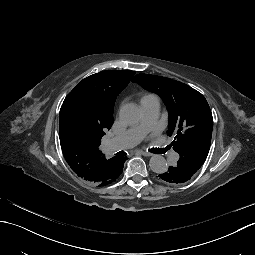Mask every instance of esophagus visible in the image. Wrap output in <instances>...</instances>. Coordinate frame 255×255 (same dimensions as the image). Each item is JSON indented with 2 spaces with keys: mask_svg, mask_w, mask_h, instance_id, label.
<instances>
[{
  "mask_svg": "<svg viewBox=\"0 0 255 255\" xmlns=\"http://www.w3.org/2000/svg\"><path fill=\"white\" fill-rule=\"evenodd\" d=\"M141 154L143 155V156H152L153 154L152 153H149V152H141Z\"/></svg>",
  "mask_w": 255,
  "mask_h": 255,
  "instance_id": "34e87169",
  "label": "esophagus"
}]
</instances>
